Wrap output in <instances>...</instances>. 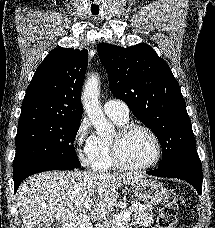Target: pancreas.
Listing matches in <instances>:
<instances>
[{"mask_svg": "<svg viewBox=\"0 0 215 228\" xmlns=\"http://www.w3.org/2000/svg\"><path fill=\"white\" fill-rule=\"evenodd\" d=\"M132 224L128 222H109L108 228H130V226H137V228H148L151 224H154V216L152 210H149L148 206H140V210H135L131 216Z\"/></svg>", "mask_w": 215, "mask_h": 228, "instance_id": "1", "label": "pancreas"}]
</instances>
